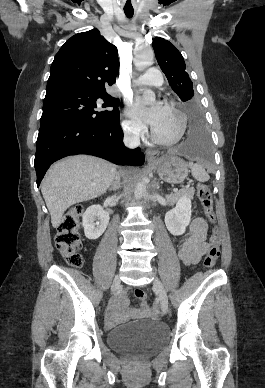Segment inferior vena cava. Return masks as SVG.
<instances>
[{
	"label": "inferior vena cava",
	"mask_w": 265,
	"mask_h": 388,
	"mask_svg": "<svg viewBox=\"0 0 265 388\" xmlns=\"http://www.w3.org/2000/svg\"><path fill=\"white\" fill-rule=\"evenodd\" d=\"M123 142L125 146H127V148H138V146H140V136L138 130H131V132H125ZM114 180H120L119 174H115Z\"/></svg>",
	"instance_id": "obj_1"
}]
</instances>
